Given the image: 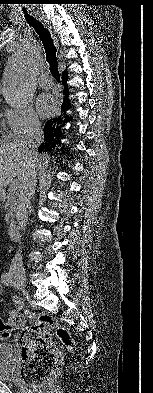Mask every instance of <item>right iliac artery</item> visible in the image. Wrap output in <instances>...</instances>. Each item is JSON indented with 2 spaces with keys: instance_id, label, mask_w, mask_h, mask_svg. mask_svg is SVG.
<instances>
[{
  "instance_id": "obj_1",
  "label": "right iliac artery",
  "mask_w": 153,
  "mask_h": 393,
  "mask_svg": "<svg viewBox=\"0 0 153 393\" xmlns=\"http://www.w3.org/2000/svg\"><path fill=\"white\" fill-rule=\"evenodd\" d=\"M1 280H2V283H3L4 285H6V286L11 285V283H12V281H13L12 276H11L9 273H4V274L1 276Z\"/></svg>"
}]
</instances>
